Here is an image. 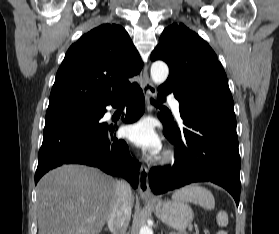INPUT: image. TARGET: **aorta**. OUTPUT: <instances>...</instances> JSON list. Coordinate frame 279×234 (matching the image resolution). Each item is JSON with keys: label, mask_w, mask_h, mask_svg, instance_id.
<instances>
[{"label": "aorta", "mask_w": 279, "mask_h": 234, "mask_svg": "<svg viewBox=\"0 0 279 234\" xmlns=\"http://www.w3.org/2000/svg\"><path fill=\"white\" fill-rule=\"evenodd\" d=\"M151 79L155 84H162L166 81L169 69L165 62L163 61H155L151 66ZM139 234H153V230L144 225L140 228Z\"/></svg>", "instance_id": "obj_1"}]
</instances>
